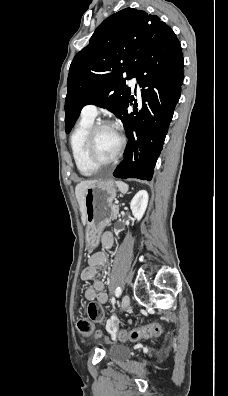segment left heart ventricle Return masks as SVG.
<instances>
[{
  "label": "left heart ventricle",
  "instance_id": "b2bd125f",
  "mask_svg": "<svg viewBox=\"0 0 228 396\" xmlns=\"http://www.w3.org/2000/svg\"><path fill=\"white\" fill-rule=\"evenodd\" d=\"M119 146V136L112 127L101 128L94 141V157L99 162L110 160Z\"/></svg>",
  "mask_w": 228,
  "mask_h": 396
}]
</instances>
